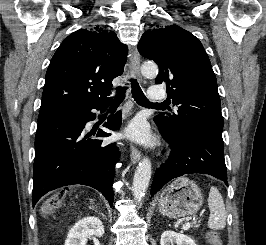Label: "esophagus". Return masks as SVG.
Returning a JSON list of instances; mask_svg holds the SVG:
<instances>
[{"mask_svg":"<svg viewBox=\"0 0 266 245\" xmlns=\"http://www.w3.org/2000/svg\"><path fill=\"white\" fill-rule=\"evenodd\" d=\"M130 72L133 77H137L138 80H141V75H140V55L137 51L136 48L132 49V55L130 57ZM130 158L132 163H137L139 162L141 158V152L140 150L135 147L134 145L131 146V154Z\"/></svg>","mask_w":266,"mask_h":245,"instance_id":"obj_1","label":"esophagus"}]
</instances>
